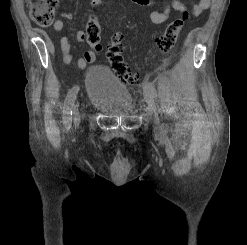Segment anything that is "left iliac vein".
Listing matches in <instances>:
<instances>
[{"label":"left iliac vein","mask_w":247,"mask_h":245,"mask_svg":"<svg viewBox=\"0 0 247 245\" xmlns=\"http://www.w3.org/2000/svg\"><path fill=\"white\" fill-rule=\"evenodd\" d=\"M145 100L147 102L148 108L154 114V128L156 130H160L161 129V124H160V120H159V116H158V112H157V107H156L154 98L152 96L146 94L145 95Z\"/></svg>","instance_id":"1"}]
</instances>
